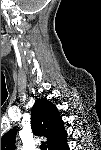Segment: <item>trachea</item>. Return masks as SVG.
<instances>
[{
    "mask_svg": "<svg viewBox=\"0 0 101 150\" xmlns=\"http://www.w3.org/2000/svg\"><path fill=\"white\" fill-rule=\"evenodd\" d=\"M40 149H41V150H47V147H46L45 144H41V145H40Z\"/></svg>",
    "mask_w": 101,
    "mask_h": 150,
    "instance_id": "obj_1",
    "label": "trachea"
}]
</instances>
